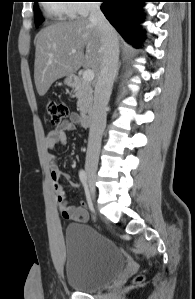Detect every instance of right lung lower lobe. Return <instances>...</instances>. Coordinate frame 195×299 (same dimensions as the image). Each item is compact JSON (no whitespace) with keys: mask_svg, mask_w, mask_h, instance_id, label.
<instances>
[{"mask_svg":"<svg viewBox=\"0 0 195 299\" xmlns=\"http://www.w3.org/2000/svg\"><path fill=\"white\" fill-rule=\"evenodd\" d=\"M101 10L123 36V38L134 46H138L144 40V35L139 28L142 22V7L144 0H101Z\"/></svg>","mask_w":195,"mask_h":299,"instance_id":"right-lung-lower-lobe-1","label":"right lung lower lobe"}]
</instances>
